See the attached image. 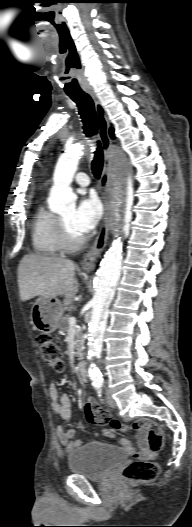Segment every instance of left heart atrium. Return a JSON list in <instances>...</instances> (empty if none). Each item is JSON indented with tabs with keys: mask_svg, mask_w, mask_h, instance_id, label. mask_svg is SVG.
<instances>
[{
	"mask_svg": "<svg viewBox=\"0 0 192 527\" xmlns=\"http://www.w3.org/2000/svg\"><path fill=\"white\" fill-rule=\"evenodd\" d=\"M102 215L99 200L94 195L84 197L72 217V226L80 234L91 232L98 224Z\"/></svg>",
	"mask_w": 192,
	"mask_h": 527,
	"instance_id": "obj_1",
	"label": "left heart atrium"
}]
</instances>
